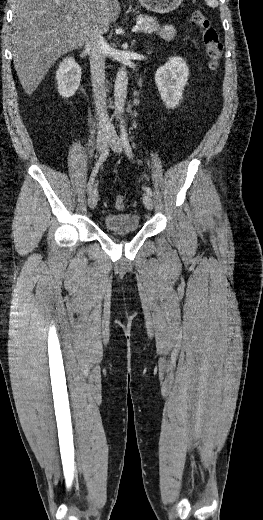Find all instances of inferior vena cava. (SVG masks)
Segmentation results:
<instances>
[{
  "label": "inferior vena cava",
  "mask_w": 263,
  "mask_h": 520,
  "mask_svg": "<svg viewBox=\"0 0 263 520\" xmlns=\"http://www.w3.org/2000/svg\"><path fill=\"white\" fill-rule=\"evenodd\" d=\"M86 50L90 59L91 80L98 117V132L103 133L110 131L112 124L107 114L106 90L104 86L107 43L103 37V32L97 26L93 27L88 36Z\"/></svg>",
  "instance_id": "obj_1"
}]
</instances>
